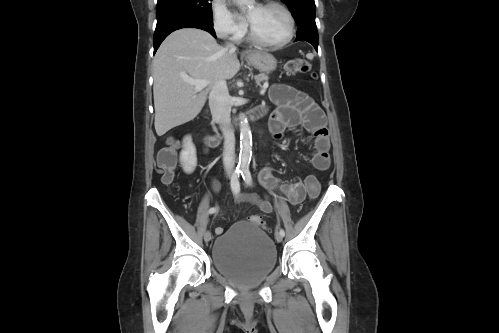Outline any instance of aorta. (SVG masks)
<instances>
[{
    "mask_svg": "<svg viewBox=\"0 0 499 333\" xmlns=\"http://www.w3.org/2000/svg\"><path fill=\"white\" fill-rule=\"evenodd\" d=\"M252 156V134L248 121L244 115L240 117V153L238 168L241 170L249 167Z\"/></svg>",
    "mask_w": 499,
    "mask_h": 333,
    "instance_id": "obj_1",
    "label": "aorta"
}]
</instances>
